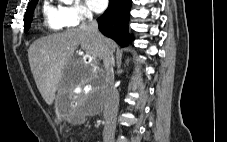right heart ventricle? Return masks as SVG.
Listing matches in <instances>:
<instances>
[{"label": "right heart ventricle", "instance_id": "e07e8e85", "mask_svg": "<svg viewBox=\"0 0 227 142\" xmlns=\"http://www.w3.org/2000/svg\"><path fill=\"white\" fill-rule=\"evenodd\" d=\"M41 12L42 25L49 31H61L67 26L62 18L60 7L54 6L49 0L43 2Z\"/></svg>", "mask_w": 227, "mask_h": 142}]
</instances>
